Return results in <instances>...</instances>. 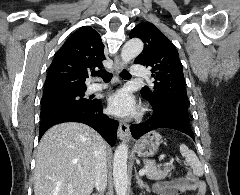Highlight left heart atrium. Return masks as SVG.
Segmentation results:
<instances>
[{
  "mask_svg": "<svg viewBox=\"0 0 240 195\" xmlns=\"http://www.w3.org/2000/svg\"><path fill=\"white\" fill-rule=\"evenodd\" d=\"M108 109L111 114L119 117L131 116L135 113L136 104L133 96L124 89L110 95Z\"/></svg>",
  "mask_w": 240,
  "mask_h": 195,
  "instance_id": "1",
  "label": "left heart atrium"
}]
</instances>
